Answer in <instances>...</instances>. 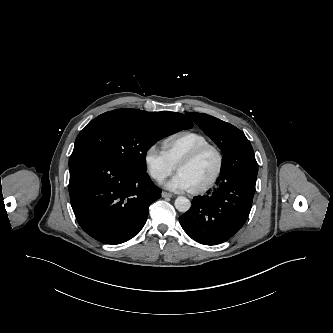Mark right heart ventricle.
I'll return each instance as SVG.
<instances>
[{
    "label": "right heart ventricle",
    "instance_id": "obj_1",
    "mask_svg": "<svg viewBox=\"0 0 333 333\" xmlns=\"http://www.w3.org/2000/svg\"><path fill=\"white\" fill-rule=\"evenodd\" d=\"M209 143V140L198 132L181 131L165 138L162 147L170 161L177 166L179 161L188 153Z\"/></svg>",
    "mask_w": 333,
    "mask_h": 333
}]
</instances>
